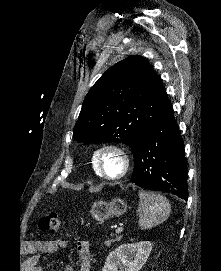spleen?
Returning a JSON list of instances; mask_svg holds the SVG:
<instances>
[{
  "mask_svg": "<svg viewBox=\"0 0 221 271\" xmlns=\"http://www.w3.org/2000/svg\"><path fill=\"white\" fill-rule=\"evenodd\" d=\"M139 225L142 229H150L166 221L170 215L171 207L168 199L159 193L139 189Z\"/></svg>",
  "mask_w": 221,
  "mask_h": 271,
  "instance_id": "1",
  "label": "spleen"
}]
</instances>
